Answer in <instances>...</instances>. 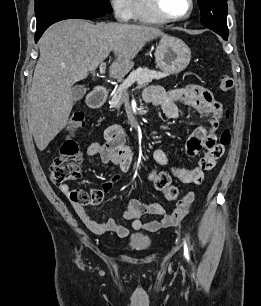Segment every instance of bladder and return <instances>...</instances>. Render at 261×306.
<instances>
[{
  "label": "bladder",
  "instance_id": "31cf9c89",
  "mask_svg": "<svg viewBox=\"0 0 261 306\" xmlns=\"http://www.w3.org/2000/svg\"><path fill=\"white\" fill-rule=\"evenodd\" d=\"M129 245L135 250H146L151 245V238L148 235L142 233H136L129 238Z\"/></svg>",
  "mask_w": 261,
  "mask_h": 306
}]
</instances>
